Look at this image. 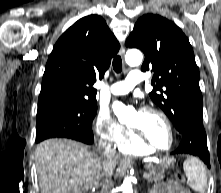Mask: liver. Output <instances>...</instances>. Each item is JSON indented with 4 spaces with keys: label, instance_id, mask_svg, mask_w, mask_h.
I'll use <instances>...</instances> for the list:
<instances>
[{
    "label": "liver",
    "instance_id": "6515ba94",
    "mask_svg": "<svg viewBox=\"0 0 221 193\" xmlns=\"http://www.w3.org/2000/svg\"><path fill=\"white\" fill-rule=\"evenodd\" d=\"M35 156L40 193H83L111 176L118 163L114 152L64 138L41 142Z\"/></svg>",
    "mask_w": 221,
    "mask_h": 193
}]
</instances>
